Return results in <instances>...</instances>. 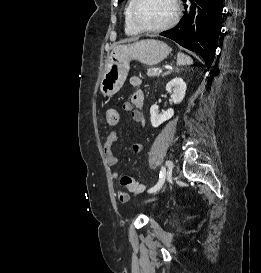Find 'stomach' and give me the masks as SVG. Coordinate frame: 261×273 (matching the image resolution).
Here are the masks:
<instances>
[{
    "instance_id": "1",
    "label": "stomach",
    "mask_w": 261,
    "mask_h": 273,
    "mask_svg": "<svg viewBox=\"0 0 261 273\" xmlns=\"http://www.w3.org/2000/svg\"><path fill=\"white\" fill-rule=\"evenodd\" d=\"M169 53L168 45L155 39L115 47L106 61L100 92L103 96H112L119 91L126 80L130 61L137 60L142 64L154 66L164 60Z\"/></svg>"
}]
</instances>
